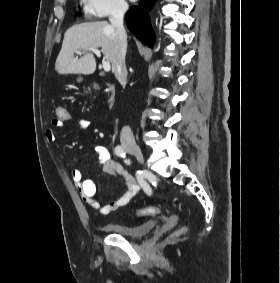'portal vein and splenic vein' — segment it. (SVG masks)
Segmentation results:
<instances>
[{
    "instance_id": "18ae733b",
    "label": "portal vein and splenic vein",
    "mask_w": 280,
    "mask_h": 283,
    "mask_svg": "<svg viewBox=\"0 0 280 283\" xmlns=\"http://www.w3.org/2000/svg\"><path fill=\"white\" fill-rule=\"evenodd\" d=\"M88 49H89L90 51H92L93 53H95L98 57H101V53H100V51H99L98 49H96V48H94V47H89ZM78 53H80V52H78ZM103 69H104V71H106V72H109V71H110L111 65H110V63H109L108 61H104V62H103Z\"/></svg>"
}]
</instances>
